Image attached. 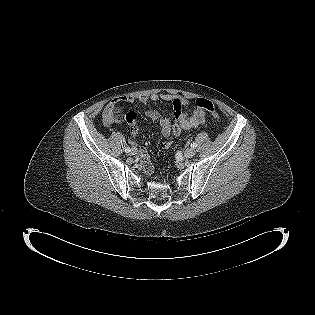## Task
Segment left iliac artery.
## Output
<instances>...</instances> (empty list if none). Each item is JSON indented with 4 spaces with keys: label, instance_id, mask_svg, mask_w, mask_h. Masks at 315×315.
<instances>
[{
    "label": "left iliac artery",
    "instance_id": "1",
    "mask_svg": "<svg viewBox=\"0 0 315 315\" xmlns=\"http://www.w3.org/2000/svg\"><path fill=\"white\" fill-rule=\"evenodd\" d=\"M191 147L194 149V148L197 147V144L193 142V143L191 144Z\"/></svg>",
    "mask_w": 315,
    "mask_h": 315
}]
</instances>
